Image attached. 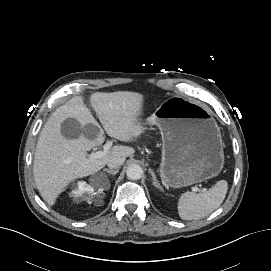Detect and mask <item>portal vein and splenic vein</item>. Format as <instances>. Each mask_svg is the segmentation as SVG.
Masks as SVG:
<instances>
[{
  "mask_svg": "<svg viewBox=\"0 0 271 271\" xmlns=\"http://www.w3.org/2000/svg\"><path fill=\"white\" fill-rule=\"evenodd\" d=\"M111 146H112V142L111 141H108L105 145H104V148H103V151H97V152H95V153H92V154H90L89 155V157L91 158V159H96V158H100V157H103V156H105L108 152H109V150L111 149ZM192 190L194 191V192H206L207 191V189H199L198 187H196V186H193L192 187Z\"/></svg>",
  "mask_w": 271,
  "mask_h": 271,
  "instance_id": "1",
  "label": "portal vein and splenic vein"
}]
</instances>
